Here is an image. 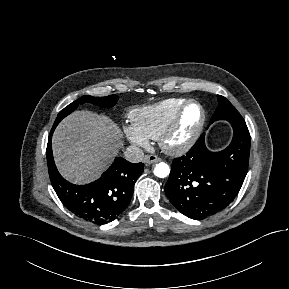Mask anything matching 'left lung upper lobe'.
Here are the masks:
<instances>
[{
    "label": "left lung upper lobe",
    "mask_w": 289,
    "mask_h": 289,
    "mask_svg": "<svg viewBox=\"0 0 289 289\" xmlns=\"http://www.w3.org/2000/svg\"><path fill=\"white\" fill-rule=\"evenodd\" d=\"M217 98L218 107L211 118V122L224 119L231 124L246 125L243 117L225 97L217 95Z\"/></svg>",
    "instance_id": "obj_1"
}]
</instances>
